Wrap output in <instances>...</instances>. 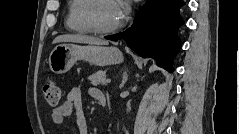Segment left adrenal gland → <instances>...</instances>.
<instances>
[{"label": "left adrenal gland", "mask_w": 239, "mask_h": 134, "mask_svg": "<svg viewBox=\"0 0 239 134\" xmlns=\"http://www.w3.org/2000/svg\"><path fill=\"white\" fill-rule=\"evenodd\" d=\"M127 80H128V74H127V71H124L122 75V82L119 87L122 88L127 82Z\"/></svg>", "instance_id": "left-adrenal-gland-1"}]
</instances>
